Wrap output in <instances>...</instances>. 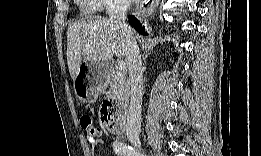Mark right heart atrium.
I'll list each match as a JSON object with an SVG mask.
<instances>
[{"label": "right heart atrium", "instance_id": "right-heart-atrium-1", "mask_svg": "<svg viewBox=\"0 0 261 156\" xmlns=\"http://www.w3.org/2000/svg\"><path fill=\"white\" fill-rule=\"evenodd\" d=\"M121 7L118 1L113 0H91V8L94 10H111Z\"/></svg>", "mask_w": 261, "mask_h": 156}]
</instances>
